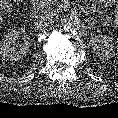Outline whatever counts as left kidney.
Wrapping results in <instances>:
<instances>
[{
	"mask_svg": "<svg viewBox=\"0 0 118 118\" xmlns=\"http://www.w3.org/2000/svg\"><path fill=\"white\" fill-rule=\"evenodd\" d=\"M95 54L102 60L114 56V40L109 36L97 35L91 39Z\"/></svg>",
	"mask_w": 118,
	"mask_h": 118,
	"instance_id": "obj_1",
	"label": "left kidney"
}]
</instances>
